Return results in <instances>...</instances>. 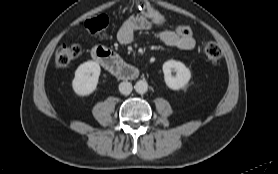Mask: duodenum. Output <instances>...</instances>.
<instances>
[{
    "instance_id": "duodenum-1",
    "label": "duodenum",
    "mask_w": 278,
    "mask_h": 174,
    "mask_svg": "<svg viewBox=\"0 0 278 174\" xmlns=\"http://www.w3.org/2000/svg\"><path fill=\"white\" fill-rule=\"evenodd\" d=\"M92 57L113 75L122 79H133L138 76V70L126 63L117 53L104 48L95 47L92 50Z\"/></svg>"
}]
</instances>
